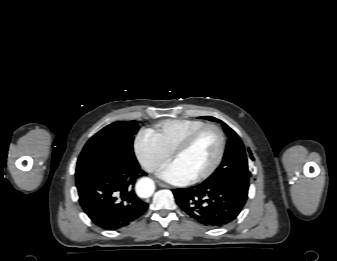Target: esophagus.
Wrapping results in <instances>:
<instances>
[{
    "mask_svg": "<svg viewBox=\"0 0 337 261\" xmlns=\"http://www.w3.org/2000/svg\"><path fill=\"white\" fill-rule=\"evenodd\" d=\"M157 183H158V185H159L160 187H163V188H172L170 185H168V184H166V183H163V182H161V181H158Z\"/></svg>",
    "mask_w": 337,
    "mask_h": 261,
    "instance_id": "34e87169",
    "label": "esophagus"
}]
</instances>
